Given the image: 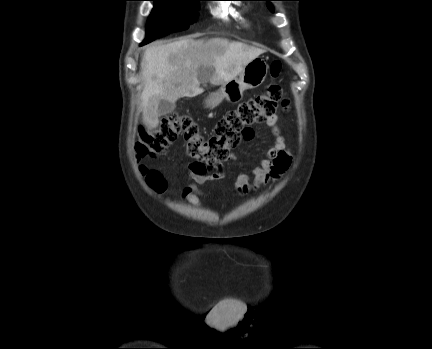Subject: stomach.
<instances>
[{"instance_id":"0dacf381","label":"stomach","mask_w":432,"mask_h":349,"mask_svg":"<svg viewBox=\"0 0 432 349\" xmlns=\"http://www.w3.org/2000/svg\"><path fill=\"white\" fill-rule=\"evenodd\" d=\"M268 70L269 66L263 58H254L237 77L224 83L218 91L211 93L205 100L206 106L213 108L223 99L232 103L240 102L245 90L256 88L264 82Z\"/></svg>"}]
</instances>
